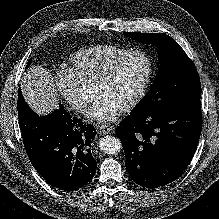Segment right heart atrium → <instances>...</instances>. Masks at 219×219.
Returning a JSON list of instances; mask_svg holds the SVG:
<instances>
[{
	"instance_id": "d8ad5b80",
	"label": "right heart atrium",
	"mask_w": 219,
	"mask_h": 219,
	"mask_svg": "<svg viewBox=\"0 0 219 219\" xmlns=\"http://www.w3.org/2000/svg\"><path fill=\"white\" fill-rule=\"evenodd\" d=\"M53 85L76 112L84 114L87 111L91 100L84 95L81 80L75 72L60 70L54 77Z\"/></svg>"
}]
</instances>
